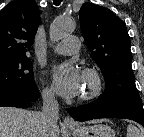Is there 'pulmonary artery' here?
Wrapping results in <instances>:
<instances>
[{"label":"pulmonary artery","instance_id":"1","mask_svg":"<svg viewBox=\"0 0 144 137\" xmlns=\"http://www.w3.org/2000/svg\"><path fill=\"white\" fill-rule=\"evenodd\" d=\"M80 42L76 36H68L55 46L53 51L61 55H71L79 50Z\"/></svg>","mask_w":144,"mask_h":137}]
</instances>
